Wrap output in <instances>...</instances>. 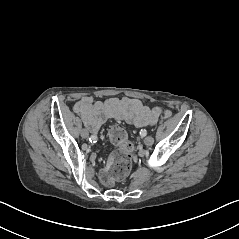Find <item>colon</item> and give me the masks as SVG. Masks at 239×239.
Wrapping results in <instances>:
<instances>
[{
  "mask_svg": "<svg viewBox=\"0 0 239 239\" xmlns=\"http://www.w3.org/2000/svg\"><path fill=\"white\" fill-rule=\"evenodd\" d=\"M172 112L170 110L163 111L164 118H170ZM110 141L118 147L108 159L107 166L101 173V180L106 184L124 178L130 171L132 162L133 145L128 140L126 130L119 125H112L108 130Z\"/></svg>",
  "mask_w": 239,
  "mask_h": 239,
  "instance_id": "obj_1",
  "label": "colon"
}]
</instances>
